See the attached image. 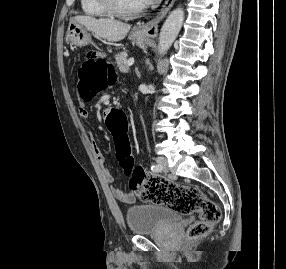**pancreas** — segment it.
Masks as SVG:
<instances>
[{
	"mask_svg": "<svg viewBox=\"0 0 286 269\" xmlns=\"http://www.w3.org/2000/svg\"><path fill=\"white\" fill-rule=\"evenodd\" d=\"M117 67L119 68L120 72L127 73L129 71L128 60H127V53L122 52L115 56Z\"/></svg>",
	"mask_w": 286,
	"mask_h": 269,
	"instance_id": "cf45deb5",
	"label": "pancreas"
}]
</instances>
